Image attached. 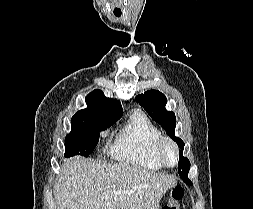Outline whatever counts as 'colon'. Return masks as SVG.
<instances>
[{"instance_id": "colon-1", "label": "colon", "mask_w": 253, "mask_h": 209, "mask_svg": "<svg viewBox=\"0 0 253 209\" xmlns=\"http://www.w3.org/2000/svg\"><path fill=\"white\" fill-rule=\"evenodd\" d=\"M184 189L181 186L174 187L171 191V199L162 209H179L178 201L183 197Z\"/></svg>"}]
</instances>
